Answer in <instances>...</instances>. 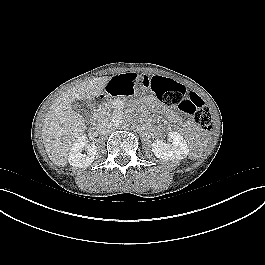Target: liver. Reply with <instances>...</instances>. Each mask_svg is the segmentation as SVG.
<instances>
[{"label": "liver", "mask_w": 265, "mask_h": 265, "mask_svg": "<svg viewBox=\"0 0 265 265\" xmlns=\"http://www.w3.org/2000/svg\"><path fill=\"white\" fill-rule=\"evenodd\" d=\"M110 79L106 76L81 82L65 91L50 107L43 122L42 138L46 152L55 165H67L73 143L84 134L85 119L72 110V103L98 97Z\"/></svg>", "instance_id": "6515ba94"}]
</instances>
